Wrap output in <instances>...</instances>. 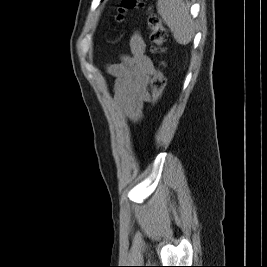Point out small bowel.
I'll return each mask as SVG.
<instances>
[{"label": "small bowel", "mask_w": 267, "mask_h": 267, "mask_svg": "<svg viewBox=\"0 0 267 267\" xmlns=\"http://www.w3.org/2000/svg\"><path fill=\"white\" fill-rule=\"evenodd\" d=\"M129 46L131 54L119 63L109 64L107 71L115 78L113 89L117 107L129 120L137 122L142 117L145 103L151 100L147 86L155 68L145 53L146 44L138 32L131 36Z\"/></svg>", "instance_id": "obj_1"}]
</instances>
